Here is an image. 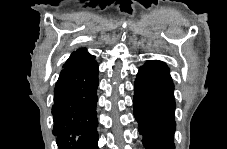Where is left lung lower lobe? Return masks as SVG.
Here are the masks:
<instances>
[{
  "instance_id": "obj_1",
  "label": "left lung lower lobe",
  "mask_w": 227,
  "mask_h": 149,
  "mask_svg": "<svg viewBox=\"0 0 227 149\" xmlns=\"http://www.w3.org/2000/svg\"><path fill=\"white\" fill-rule=\"evenodd\" d=\"M134 116L146 149H175L174 84L168 66L150 60L140 67L134 84Z\"/></svg>"
}]
</instances>
